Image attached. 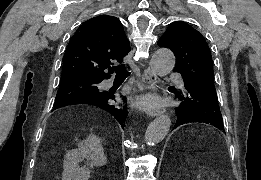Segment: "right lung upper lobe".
I'll return each instance as SVG.
<instances>
[{
	"label": "right lung upper lobe",
	"instance_id": "right-lung-upper-lobe-1",
	"mask_svg": "<svg viewBox=\"0 0 261 180\" xmlns=\"http://www.w3.org/2000/svg\"><path fill=\"white\" fill-rule=\"evenodd\" d=\"M130 52L121 22L113 16L101 15L83 23L70 39L63 57L61 81L110 78L105 73L112 61L122 62Z\"/></svg>",
	"mask_w": 261,
	"mask_h": 180
}]
</instances>
